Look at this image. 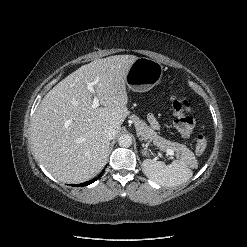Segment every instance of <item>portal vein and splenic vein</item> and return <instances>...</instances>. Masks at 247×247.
<instances>
[{"instance_id":"portal-vein-and-splenic-vein-1","label":"portal vein and splenic vein","mask_w":247,"mask_h":247,"mask_svg":"<svg viewBox=\"0 0 247 247\" xmlns=\"http://www.w3.org/2000/svg\"><path fill=\"white\" fill-rule=\"evenodd\" d=\"M97 83H98V80H95V81L89 82V83L87 84V89H88L92 94H94V95H95L94 85H96ZM92 107H93V108L99 107V99H98V97H96V96H94V99H93V102H92ZM165 151H166V153H167L168 155H170V156H173V155H174V151L171 150V149H166Z\"/></svg>"}]
</instances>
